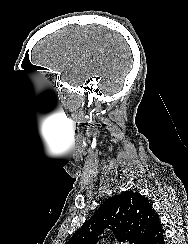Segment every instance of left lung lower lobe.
<instances>
[{
    "label": "left lung lower lobe",
    "mask_w": 188,
    "mask_h": 244,
    "mask_svg": "<svg viewBox=\"0 0 188 244\" xmlns=\"http://www.w3.org/2000/svg\"><path fill=\"white\" fill-rule=\"evenodd\" d=\"M143 244H165L162 225L157 213H155L148 226Z\"/></svg>",
    "instance_id": "0a47b994"
}]
</instances>
